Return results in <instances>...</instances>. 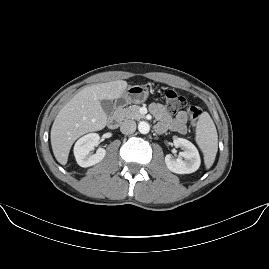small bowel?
<instances>
[{
    "mask_svg": "<svg viewBox=\"0 0 269 269\" xmlns=\"http://www.w3.org/2000/svg\"><path fill=\"white\" fill-rule=\"evenodd\" d=\"M151 112L159 121L155 127L157 133H163L168 128L180 134L187 132L188 117L186 112L180 111L176 114L174 119H171L164 106L159 103H153L151 105Z\"/></svg>",
    "mask_w": 269,
    "mask_h": 269,
    "instance_id": "obj_1",
    "label": "small bowel"
}]
</instances>
